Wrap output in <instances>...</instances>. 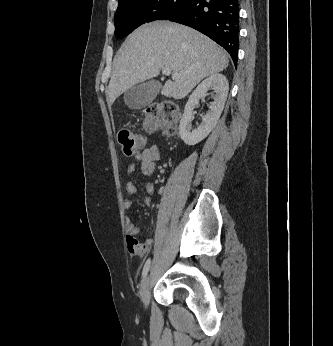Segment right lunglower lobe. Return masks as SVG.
Instances as JSON below:
<instances>
[{
  "label": "right lung lower lobe",
  "mask_w": 333,
  "mask_h": 346,
  "mask_svg": "<svg viewBox=\"0 0 333 346\" xmlns=\"http://www.w3.org/2000/svg\"><path fill=\"white\" fill-rule=\"evenodd\" d=\"M166 20L192 27L227 50L237 63L239 0H185Z\"/></svg>",
  "instance_id": "obj_1"
}]
</instances>
